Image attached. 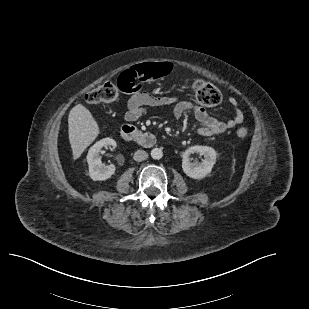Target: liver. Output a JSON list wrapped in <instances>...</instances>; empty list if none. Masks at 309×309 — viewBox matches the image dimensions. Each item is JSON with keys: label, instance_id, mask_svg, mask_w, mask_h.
I'll return each mask as SVG.
<instances>
[{"label": "liver", "instance_id": "1", "mask_svg": "<svg viewBox=\"0 0 309 309\" xmlns=\"http://www.w3.org/2000/svg\"><path fill=\"white\" fill-rule=\"evenodd\" d=\"M68 127L73 160H76L96 139L99 127L90 111L82 104H78L70 110Z\"/></svg>", "mask_w": 309, "mask_h": 309}]
</instances>
